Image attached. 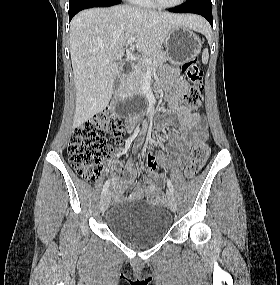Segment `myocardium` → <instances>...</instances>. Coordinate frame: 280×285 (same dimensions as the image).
<instances>
[{"mask_svg":"<svg viewBox=\"0 0 280 285\" xmlns=\"http://www.w3.org/2000/svg\"><path fill=\"white\" fill-rule=\"evenodd\" d=\"M151 2L155 6H157L159 8H162V9H172V8H176V7L180 6V5H182L185 2V0H178L177 2L172 3V4H164L160 0H151Z\"/></svg>","mask_w":280,"mask_h":285,"instance_id":"obj_1","label":"myocardium"}]
</instances>
